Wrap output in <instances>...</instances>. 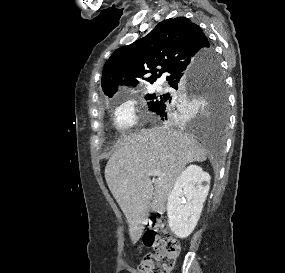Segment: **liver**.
<instances>
[{
	"label": "liver",
	"mask_w": 285,
	"mask_h": 273,
	"mask_svg": "<svg viewBox=\"0 0 285 273\" xmlns=\"http://www.w3.org/2000/svg\"><path fill=\"white\" fill-rule=\"evenodd\" d=\"M206 158V151L193 137L169 125L141 130L118 142L105 167V179L127 219L134 243L142 234L149 210L165 212L184 167ZM153 170L163 175L151 181Z\"/></svg>",
	"instance_id": "obj_1"
}]
</instances>
